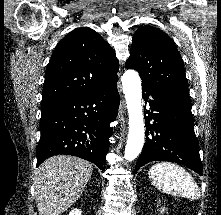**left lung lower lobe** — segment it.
<instances>
[{"instance_id": "obj_1", "label": "left lung lower lobe", "mask_w": 221, "mask_h": 215, "mask_svg": "<svg viewBox=\"0 0 221 215\" xmlns=\"http://www.w3.org/2000/svg\"><path fill=\"white\" fill-rule=\"evenodd\" d=\"M146 111V141L135 172L151 161H172L202 175L199 146L189 101L160 93L142 84ZM153 120V122H151Z\"/></svg>"}]
</instances>
